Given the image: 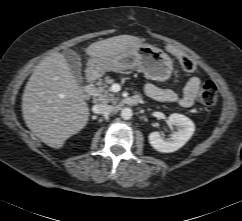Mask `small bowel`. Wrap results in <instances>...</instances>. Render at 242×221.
Returning a JSON list of instances; mask_svg holds the SVG:
<instances>
[{
  "label": "small bowel",
  "instance_id": "small-bowel-1",
  "mask_svg": "<svg viewBox=\"0 0 242 221\" xmlns=\"http://www.w3.org/2000/svg\"><path fill=\"white\" fill-rule=\"evenodd\" d=\"M200 85L201 80L197 76L190 77L181 96L171 89L160 88L152 83H147L144 89L149 97L157 101L177 103L183 108H190L194 104Z\"/></svg>",
  "mask_w": 242,
  "mask_h": 221
}]
</instances>
